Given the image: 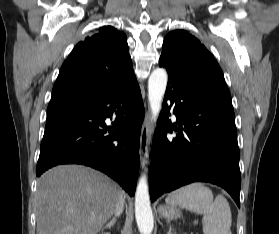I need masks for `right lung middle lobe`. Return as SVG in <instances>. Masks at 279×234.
Wrapping results in <instances>:
<instances>
[{
	"mask_svg": "<svg viewBox=\"0 0 279 234\" xmlns=\"http://www.w3.org/2000/svg\"><path fill=\"white\" fill-rule=\"evenodd\" d=\"M60 108H63V107L48 108V109H47V112L49 113V112H52V111L58 110V109H60Z\"/></svg>",
	"mask_w": 279,
	"mask_h": 234,
	"instance_id": "dd1d6c3e",
	"label": "right lung middle lobe"
}]
</instances>
